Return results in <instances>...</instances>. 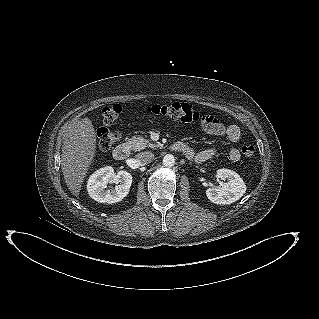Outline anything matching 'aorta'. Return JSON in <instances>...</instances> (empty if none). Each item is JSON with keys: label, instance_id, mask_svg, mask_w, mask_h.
Here are the masks:
<instances>
[{"label": "aorta", "instance_id": "obj_1", "mask_svg": "<svg viewBox=\"0 0 319 319\" xmlns=\"http://www.w3.org/2000/svg\"><path fill=\"white\" fill-rule=\"evenodd\" d=\"M175 164V157L172 154H167L163 157V165L165 167H172Z\"/></svg>", "mask_w": 319, "mask_h": 319}]
</instances>
